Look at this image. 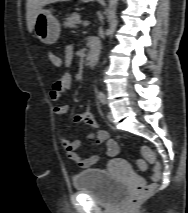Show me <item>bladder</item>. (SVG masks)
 Wrapping results in <instances>:
<instances>
[{
  "label": "bladder",
  "instance_id": "obj_1",
  "mask_svg": "<svg viewBox=\"0 0 188 213\" xmlns=\"http://www.w3.org/2000/svg\"><path fill=\"white\" fill-rule=\"evenodd\" d=\"M73 186L87 194L98 205L112 207L127 193L124 181L113 178L105 169H86L76 173Z\"/></svg>",
  "mask_w": 188,
  "mask_h": 213
}]
</instances>
